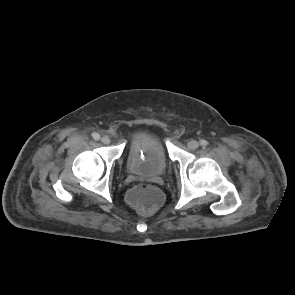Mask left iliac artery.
I'll use <instances>...</instances> for the list:
<instances>
[{
    "label": "left iliac artery",
    "instance_id": "1",
    "mask_svg": "<svg viewBox=\"0 0 295 295\" xmlns=\"http://www.w3.org/2000/svg\"><path fill=\"white\" fill-rule=\"evenodd\" d=\"M200 144L202 146H207L208 145V142L206 140H200Z\"/></svg>",
    "mask_w": 295,
    "mask_h": 295
}]
</instances>
